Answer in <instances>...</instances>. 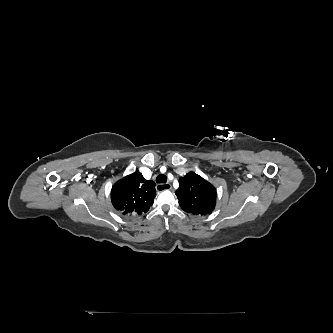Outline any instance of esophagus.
<instances>
[{
  "instance_id": "34e87169",
  "label": "esophagus",
  "mask_w": 333,
  "mask_h": 333,
  "mask_svg": "<svg viewBox=\"0 0 333 333\" xmlns=\"http://www.w3.org/2000/svg\"><path fill=\"white\" fill-rule=\"evenodd\" d=\"M171 188H172V186L169 183L157 184V186H156L157 191L170 190Z\"/></svg>"
}]
</instances>
